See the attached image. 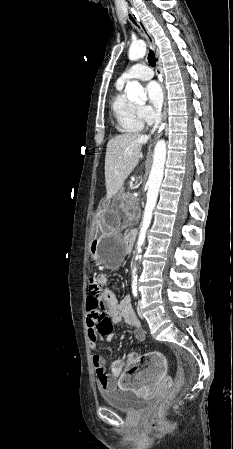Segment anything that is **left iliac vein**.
Listing matches in <instances>:
<instances>
[{
    "mask_svg": "<svg viewBox=\"0 0 233 449\" xmlns=\"http://www.w3.org/2000/svg\"><path fill=\"white\" fill-rule=\"evenodd\" d=\"M140 306H141V301L139 300V301H138V307H137V310H138L139 316L142 318L143 316H142V312H141Z\"/></svg>",
    "mask_w": 233,
    "mask_h": 449,
    "instance_id": "obj_1",
    "label": "left iliac vein"
}]
</instances>
